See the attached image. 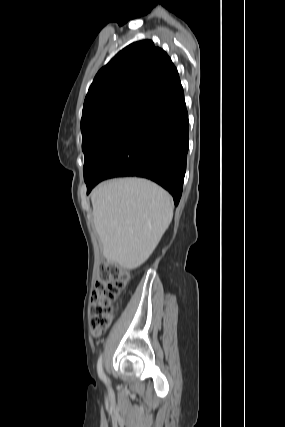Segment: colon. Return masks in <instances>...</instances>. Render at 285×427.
Returning a JSON list of instances; mask_svg holds the SVG:
<instances>
[{
  "label": "colon",
  "instance_id": "obj_1",
  "mask_svg": "<svg viewBox=\"0 0 285 427\" xmlns=\"http://www.w3.org/2000/svg\"><path fill=\"white\" fill-rule=\"evenodd\" d=\"M131 280V273L114 262L100 265L91 296L90 327L94 335L104 333L113 319V302Z\"/></svg>",
  "mask_w": 285,
  "mask_h": 427
}]
</instances>
